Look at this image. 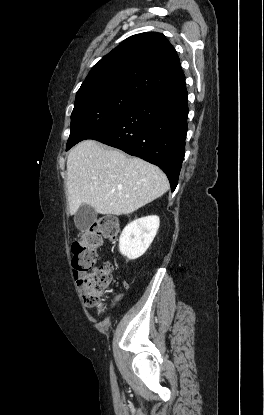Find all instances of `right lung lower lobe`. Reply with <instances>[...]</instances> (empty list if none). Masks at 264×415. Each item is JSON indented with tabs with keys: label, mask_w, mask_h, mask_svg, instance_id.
<instances>
[{
	"label": "right lung lower lobe",
	"mask_w": 264,
	"mask_h": 415,
	"mask_svg": "<svg viewBox=\"0 0 264 415\" xmlns=\"http://www.w3.org/2000/svg\"><path fill=\"white\" fill-rule=\"evenodd\" d=\"M188 94L185 81L142 98L87 139L159 166L175 190L185 155Z\"/></svg>",
	"instance_id": "98d812e1"
}]
</instances>
